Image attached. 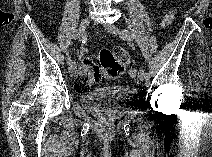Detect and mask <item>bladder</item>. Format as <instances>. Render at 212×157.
I'll list each match as a JSON object with an SVG mask.
<instances>
[{
    "instance_id": "obj_1",
    "label": "bladder",
    "mask_w": 212,
    "mask_h": 157,
    "mask_svg": "<svg viewBox=\"0 0 212 157\" xmlns=\"http://www.w3.org/2000/svg\"><path fill=\"white\" fill-rule=\"evenodd\" d=\"M138 92L129 86H106L80 92V105L97 118L114 121L124 116L135 102Z\"/></svg>"
}]
</instances>
